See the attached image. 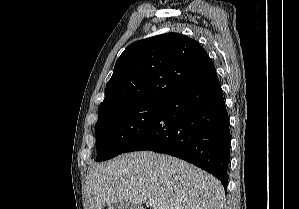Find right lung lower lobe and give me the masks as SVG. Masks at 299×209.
<instances>
[{"instance_id":"obj_1","label":"right lung lower lobe","mask_w":299,"mask_h":209,"mask_svg":"<svg viewBox=\"0 0 299 209\" xmlns=\"http://www.w3.org/2000/svg\"><path fill=\"white\" fill-rule=\"evenodd\" d=\"M215 69L186 80L126 152L151 150L186 160L228 185L230 128Z\"/></svg>"}]
</instances>
